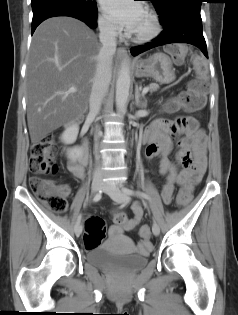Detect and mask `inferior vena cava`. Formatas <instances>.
<instances>
[{"mask_svg":"<svg viewBox=\"0 0 238 315\" xmlns=\"http://www.w3.org/2000/svg\"><path fill=\"white\" fill-rule=\"evenodd\" d=\"M99 39L102 44L100 49L96 72L93 78L92 90L89 98V115L96 117L101 109L102 100L108 92L112 77V59L116 51V27L109 22H102L99 25ZM100 133H95V161L94 179H102L103 171L100 168L98 156V138Z\"/></svg>","mask_w":238,"mask_h":315,"instance_id":"1","label":"inferior vena cava"}]
</instances>
